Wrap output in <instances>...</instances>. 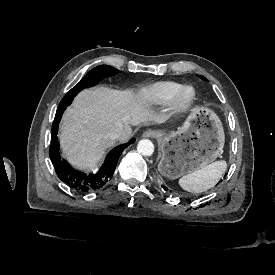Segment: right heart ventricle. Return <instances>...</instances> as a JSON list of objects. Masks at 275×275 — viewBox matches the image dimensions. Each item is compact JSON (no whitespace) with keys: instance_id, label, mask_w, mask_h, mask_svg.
<instances>
[{"instance_id":"obj_1","label":"right heart ventricle","mask_w":275,"mask_h":275,"mask_svg":"<svg viewBox=\"0 0 275 275\" xmlns=\"http://www.w3.org/2000/svg\"><path fill=\"white\" fill-rule=\"evenodd\" d=\"M180 87V84L175 82H158L147 89L145 99L152 104H166L171 101L173 95Z\"/></svg>"}]
</instances>
